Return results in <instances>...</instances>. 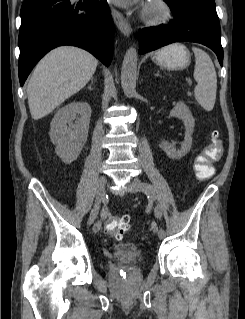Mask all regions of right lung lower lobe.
Masks as SVG:
<instances>
[{"label":"right lung lower lobe","instance_id":"98d812e1","mask_svg":"<svg viewBox=\"0 0 245 319\" xmlns=\"http://www.w3.org/2000/svg\"><path fill=\"white\" fill-rule=\"evenodd\" d=\"M19 80L22 86L36 63L60 45L83 48L109 65L113 23L107 2L25 0L21 7Z\"/></svg>","mask_w":245,"mask_h":319}]
</instances>
